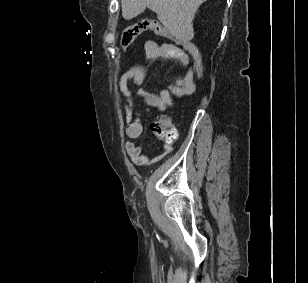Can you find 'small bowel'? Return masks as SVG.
Segmentation results:
<instances>
[{
  "instance_id": "c3829d8e",
  "label": "small bowel",
  "mask_w": 308,
  "mask_h": 283,
  "mask_svg": "<svg viewBox=\"0 0 308 283\" xmlns=\"http://www.w3.org/2000/svg\"><path fill=\"white\" fill-rule=\"evenodd\" d=\"M145 53L149 58L162 57L175 60L187 70L185 74L173 83L166 86L165 89L158 94L149 92L139 88L136 92L137 96L142 98L145 103L159 111L165 110L166 107L173 104V97H180L191 93V88L194 85V73L191 67V58L187 52L170 44H157L155 42H147L144 46ZM146 78V70L144 67L137 66L128 69L119 79V87L125 96L123 103V111L125 116L126 135L131 140H136L143 133L142 121L139 114L134 111L135 98L129 87L132 83L136 86L142 85ZM126 152L133 164L140 167L151 166L172 151V141H165L160 151L154 155H147L143 152L140 145L128 141L125 145Z\"/></svg>"
}]
</instances>
